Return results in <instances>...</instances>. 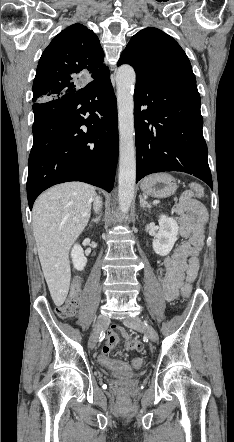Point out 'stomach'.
<instances>
[{
  "label": "stomach",
  "instance_id": "1",
  "mask_svg": "<svg viewBox=\"0 0 234 442\" xmlns=\"http://www.w3.org/2000/svg\"><path fill=\"white\" fill-rule=\"evenodd\" d=\"M141 190L155 198H167L172 196L178 185L175 178L168 173H156L144 178L141 182Z\"/></svg>",
  "mask_w": 234,
  "mask_h": 442
}]
</instances>
